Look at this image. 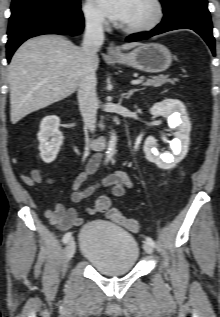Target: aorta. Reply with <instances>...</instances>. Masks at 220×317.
<instances>
[{
  "mask_svg": "<svg viewBox=\"0 0 220 317\" xmlns=\"http://www.w3.org/2000/svg\"><path fill=\"white\" fill-rule=\"evenodd\" d=\"M116 143H117V136L114 132L111 133L110 141L108 143V147L106 150V159L105 162H109L116 151Z\"/></svg>",
  "mask_w": 220,
  "mask_h": 317,
  "instance_id": "obj_1",
  "label": "aorta"
}]
</instances>
